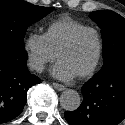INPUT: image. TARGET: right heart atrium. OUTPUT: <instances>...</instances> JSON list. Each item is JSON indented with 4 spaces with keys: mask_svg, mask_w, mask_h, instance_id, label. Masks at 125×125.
I'll use <instances>...</instances> for the list:
<instances>
[{
    "mask_svg": "<svg viewBox=\"0 0 125 125\" xmlns=\"http://www.w3.org/2000/svg\"><path fill=\"white\" fill-rule=\"evenodd\" d=\"M23 50L29 67L36 72L43 71L56 57V53L47 43L45 34L41 33L28 34L23 41Z\"/></svg>",
    "mask_w": 125,
    "mask_h": 125,
    "instance_id": "d8ad5b80",
    "label": "right heart atrium"
}]
</instances>
